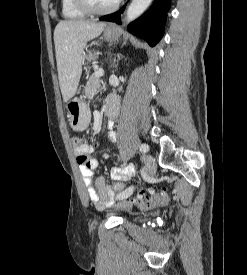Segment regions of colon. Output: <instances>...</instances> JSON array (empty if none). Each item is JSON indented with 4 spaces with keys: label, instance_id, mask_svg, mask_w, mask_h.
<instances>
[{
    "label": "colon",
    "instance_id": "5ec220e1",
    "mask_svg": "<svg viewBox=\"0 0 247 275\" xmlns=\"http://www.w3.org/2000/svg\"><path fill=\"white\" fill-rule=\"evenodd\" d=\"M71 142L76 150L84 145L83 139L78 136L72 137ZM111 188L117 195L124 194L128 190L122 183H114L111 185ZM129 196L130 194L127 197ZM132 202L142 209H150L168 204L170 202V195L166 189L160 191L154 189L142 190L132 198Z\"/></svg>",
    "mask_w": 247,
    "mask_h": 275
}]
</instances>
